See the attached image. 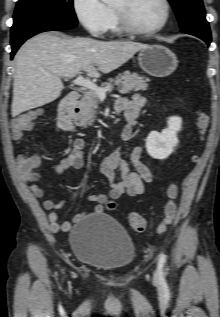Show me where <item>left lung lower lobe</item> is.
I'll list each match as a JSON object with an SVG mask.
<instances>
[{"label":"left lung lower lobe","instance_id":"obj_1","mask_svg":"<svg viewBox=\"0 0 220 317\" xmlns=\"http://www.w3.org/2000/svg\"><path fill=\"white\" fill-rule=\"evenodd\" d=\"M182 32L190 34V35H194L202 39L203 41L207 43V45L211 43L210 29H203L200 27H188V28L182 29Z\"/></svg>","mask_w":220,"mask_h":317}]
</instances>
